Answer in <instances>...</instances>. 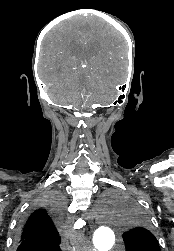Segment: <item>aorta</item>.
<instances>
[{
  "label": "aorta",
  "instance_id": "obj_1",
  "mask_svg": "<svg viewBox=\"0 0 174 251\" xmlns=\"http://www.w3.org/2000/svg\"><path fill=\"white\" fill-rule=\"evenodd\" d=\"M115 220L108 205H104L97 219V227L93 235V244L98 251H109L115 241Z\"/></svg>",
  "mask_w": 174,
  "mask_h": 251
}]
</instances>
